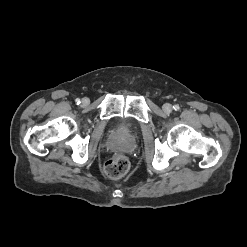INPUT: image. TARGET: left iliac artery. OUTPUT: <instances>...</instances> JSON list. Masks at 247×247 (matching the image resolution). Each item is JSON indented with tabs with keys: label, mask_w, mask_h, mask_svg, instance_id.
Listing matches in <instances>:
<instances>
[{
	"label": "left iliac artery",
	"mask_w": 247,
	"mask_h": 247,
	"mask_svg": "<svg viewBox=\"0 0 247 247\" xmlns=\"http://www.w3.org/2000/svg\"><path fill=\"white\" fill-rule=\"evenodd\" d=\"M173 108H174V110H179V106L178 105H174Z\"/></svg>",
	"instance_id": "left-iliac-artery-1"
}]
</instances>
